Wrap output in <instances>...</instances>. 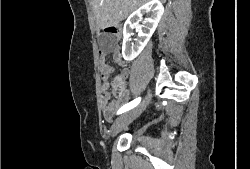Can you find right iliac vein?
Listing matches in <instances>:
<instances>
[{
  "instance_id": "right-iliac-vein-1",
  "label": "right iliac vein",
  "mask_w": 250,
  "mask_h": 169,
  "mask_svg": "<svg viewBox=\"0 0 250 169\" xmlns=\"http://www.w3.org/2000/svg\"><path fill=\"white\" fill-rule=\"evenodd\" d=\"M150 100L151 95L149 92L145 100L137 108H134L118 117L111 128V136L115 137L124 127H126L131 121L136 119L141 114V112L146 109Z\"/></svg>"
}]
</instances>
